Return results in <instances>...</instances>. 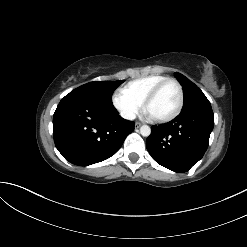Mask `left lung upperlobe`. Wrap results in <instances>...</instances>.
<instances>
[{"mask_svg":"<svg viewBox=\"0 0 247 247\" xmlns=\"http://www.w3.org/2000/svg\"><path fill=\"white\" fill-rule=\"evenodd\" d=\"M175 77L183 87V93H184L183 108L199 101L208 100L206 96L203 94V92L200 90V88H198L193 82H191L184 75L175 72Z\"/></svg>","mask_w":247,"mask_h":247,"instance_id":"5c2ea615","label":"left lung upper lobe"}]
</instances>
